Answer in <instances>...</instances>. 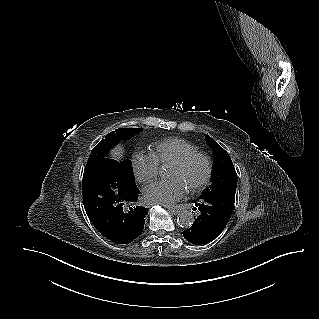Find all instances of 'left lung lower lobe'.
Masks as SVG:
<instances>
[{
	"label": "left lung lower lobe",
	"instance_id": "obj_1",
	"mask_svg": "<svg viewBox=\"0 0 319 319\" xmlns=\"http://www.w3.org/2000/svg\"><path fill=\"white\" fill-rule=\"evenodd\" d=\"M236 189L197 198L193 210L200 211L193 225L183 231L187 241L195 245L214 240L226 227L235 202Z\"/></svg>",
	"mask_w": 319,
	"mask_h": 319
}]
</instances>
